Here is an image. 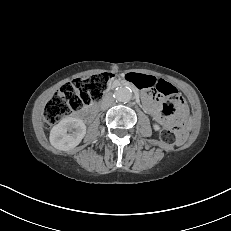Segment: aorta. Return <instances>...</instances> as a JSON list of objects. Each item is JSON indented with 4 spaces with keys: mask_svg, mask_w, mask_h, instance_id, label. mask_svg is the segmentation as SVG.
<instances>
[{
    "mask_svg": "<svg viewBox=\"0 0 231 231\" xmlns=\"http://www.w3.org/2000/svg\"><path fill=\"white\" fill-rule=\"evenodd\" d=\"M114 96L117 101L127 103L132 99V90L127 87H119L116 89Z\"/></svg>",
    "mask_w": 231,
    "mask_h": 231,
    "instance_id": "aorta-1",
    "label": "aorta"
}]
</instances>
